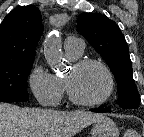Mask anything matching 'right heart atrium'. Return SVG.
I'll return each instance as SVG.
<instances>
[{
  "mask_svg": "<svg viewBox=\"0 0 144 137\" xmlns=\"http://www.w3.org/2000/svg\"><path fill=\"white\" fill-rule=\"evenodd\" d=\"M28 87L37 102L45 107H56L63 97V87L58 77L42 64L35 63L27 76Z\"/></svg>",
  "mask_w": 144,
  "mask_h": 137,
  "instance_id": "1",
  "label": "right heart atrium"
}]
</instances>
